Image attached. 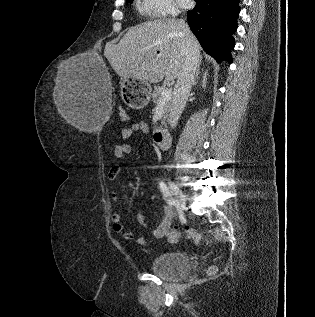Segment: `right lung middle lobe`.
<instances>
[{
    "instance_id": "obj_1",
    "label": "right lung middle lobe",
    "mask_w": 315,
    "mask_h": 317,
    "mask_svg": "<svg viewBox=\"0 0 315 317\" xmlns=\"http://www.w3.org/2000/svg\"><path fill=\"white\" fill-rule=\"evenodd\" d=\"M127 2H128V3H132V2H133V0H127Z\"/></svg>"
}]
</instances>
